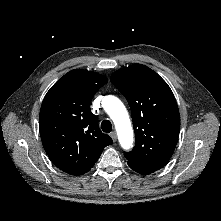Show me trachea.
Returning <instances> with one entry per match:
<instances>
[{
    "label": "trachea",
    "mask_w": 221,
    "mask_h": 221,
    "mask_svg": "<svg viewBox=\"0 0 221 221\" xmlns=\"http://www.w3.org/2000/svg\"><path fill=\"white\" fill-rule=\"evenodd\" d=\"M101 129L103 132L110 133L112 131V124L109 120H104L101 123Z\"/></svg>",
    "instance_id": "obj_1"
}]
</instances>
